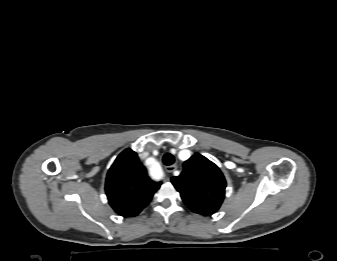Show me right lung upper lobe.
Masks as SVG:
<instances>
[{"label": "right lung upper lobe", "mask_w": 337, "mask_h": 261, "mask_svg": "<svg viewBox=\"0 0 337 261\" xmlns=\"http://www.w3.org/2000/svg\"><path fill=\"white\" fill-rule=\"evenodd\" d=\"M161 182L152 181L137 154L124 150L115 160L106 177L105 191L109 204L124 217L138 215L151 201Z\"/></svg>", "instance_id": "cb5924a9"}]
</instances>
